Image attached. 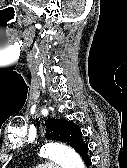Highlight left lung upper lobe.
Here are the masks:
<instances>
[{
  "mask_svg": "<svg viewBox=\"0 0 127 168\" xmlns=\"http://www.w3.org/2000/svg\"><path fill=\"white\" fill-rule=\"evenodd\" d=\"M47 139L69 144L76 151L83 144L80 127L71 121L62 119L45 120Z\"/></svg>",
  "mask_w": 127,
  "mask_h": 168,
  "instance_id": "obj_1",
  "label": "left lung upper lobe"
}]
</instances>
